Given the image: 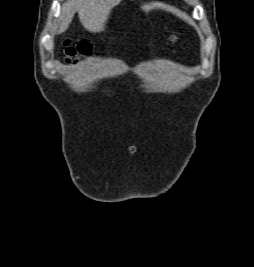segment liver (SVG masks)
Wrapping results in <instances>:
<instances>
[{
    "instance_id": "1",
    "label": "liver",
    "mask_w": 254,
    "mask_h": 267,
    "mask_svg": "<svg viewBox=\"0 0 254 267\" xmlns=\"http://www.w3.org/2000/svg\"><path fill=\"white\" fill-rule=\"evenodd\" d=\"M120 0H67L62 4L58 34L65 32L78 12L83 27L89 32L104 30L106 21Z\"/></svg>"
}]
</instances>
